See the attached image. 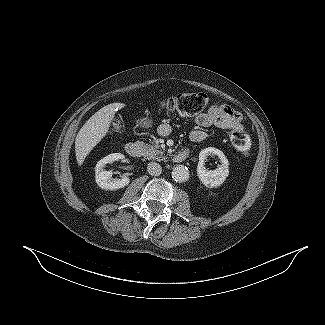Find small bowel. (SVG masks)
I'll return each instance as SVG.
<instances>
[{"label":"small bowel","mask_w":325,"mask_h":325,"mask_svg":"<svg viewBox=\"0 0 325 325\" xmlns=\"http://www.w3.org/2000/svg\"><path fill=\"white\" fill-rule=\"evenodd\" d=\"M194 122L198 126L190 132V140L194 143L205 140L206 132L203 128L217 127L229 130L241 128L244 130L241 113L225 104L212 105L205 113L198 115ZM158 131L161 135L166 136L171 132V126L168 123H163Z\"/></svg>","instance_id":"obj_1"}]
</instances>
